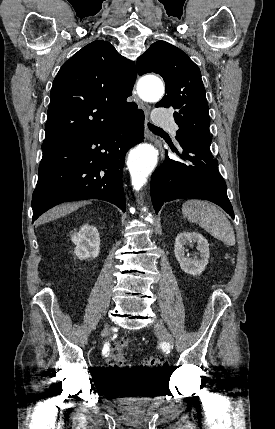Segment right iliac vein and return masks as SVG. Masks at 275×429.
<instances>
[{
	"label": "right iliac vein",
	"mask_w": 275,
	"mask_h": 429,
	"mask_svg": "<svg viewBox=\"0 0 275 429\" xmlns=\"http://www.w3.org/2000/svg\"><path fill=\"white\" fill-rule=\"evenodd\" d=\"M104 334H105V335H106V334H108V330H105V331H104Z\"/></svg>",
	"instance_id": "right-iliac-vein-1"
}]
</instances>
